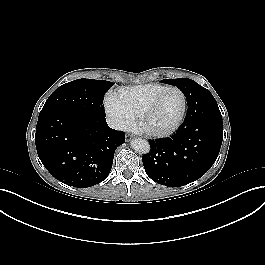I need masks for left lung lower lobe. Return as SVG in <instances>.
Wrapping results in <instances>:
<instances>
[{
	"mask_svg": "<svg viewBox=\"0 0 265 265\" xmlns=\"http://www.w3.org/2000/svg\"><path fill=\"white\" fill-rule=\"evenodd\" d=\"M186 118L174 135L149 140L142 162L149 178L167 187L187 185L214 164L222 144V115L209 91L195 88L186 97Z\"/></svg>",
	"mask_w": 265,
	"mask_h": 265,
	"instance_id": "obj_1",
	"label": "left lung lower lobe"
}]
</instances>
